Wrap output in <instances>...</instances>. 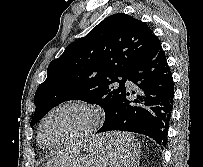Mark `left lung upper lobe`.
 <instances>
[{"label": "left lung upper lobe", "mask_w": 203, "mask_h": 167, "mask_svg": "<svg viewBox=\"0 0 203 167\" xmlns=\"http://www.w3.org/2000/svg\"><path fill=\"white\" fill-rule=\"evenodd\" d=\"M157 39L144 22L132 16L117 13L105 18L51 61L47 78L35 93L31 127L68 100L98 104L106 122L126 90L129 71Z\"/></svg>", "instance_id": "obj_1"}]
</instances>
